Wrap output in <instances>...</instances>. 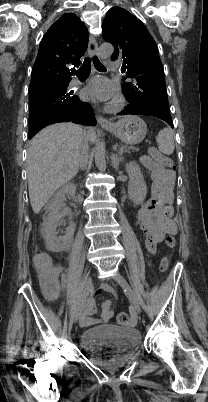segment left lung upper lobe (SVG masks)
<instances>
[{
    "instance_id": "1",
    "label": "left lung upper lobe",
    "mask_w": 208,
    "mask_h": 402,
    "mask_svg": "<svg viewBox=\"0 0 208 402\" xmlns=\"http://www.w3.org/2000/svg\"><path fill=\"white\" fill-rule=\"evenodd\" d=\"M103 37L114 46L113 61H123L122 90L129 103L169 112L164 69L158 48L145 25L120 7L111 8L102 24Z\"/></svg>"
}]
</instances>
